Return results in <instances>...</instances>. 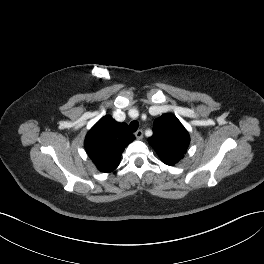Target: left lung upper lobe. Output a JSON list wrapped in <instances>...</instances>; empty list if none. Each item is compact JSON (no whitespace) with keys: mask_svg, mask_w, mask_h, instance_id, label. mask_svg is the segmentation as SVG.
<instances>
[{"mask_svg":"<svg viewBox=\"0 0 264 264\" xmlns=\"http://www.w3.org/2000/svg\"><path fill=\"white\" fill-rule=\"evenodd\" d=\"M148 141L161 161L173 166L184 157L190 136L174 115L164 114L154 121L153 136Z\"/></svg>","mask_w":264,"mask_h":264,"instance_id":"1","label":"left lung upper lobe"}]
</instances>
